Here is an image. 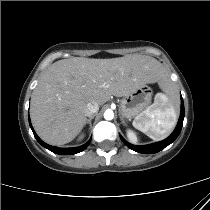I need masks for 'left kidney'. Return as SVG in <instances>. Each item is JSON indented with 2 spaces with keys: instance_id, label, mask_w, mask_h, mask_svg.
I'll use <instances>...</instances> for the list:
<instances>
[{
  "instance_id": "obj_1",
  "label": "left kidney",
  "mask_w": 210,
  "mask_h": 210,
  "mask_svg": "<svg viewBox=\"0 0 210 210\" xmlns=\"http://www.w3.org/2000/svg\"><path fill=\"white\" fill-rule=\"evenodd\" d=\"M126 135H127L128 139H129L132 143H137L138 137H137L136 133H135L133 130L127 129V130H126Z\"/></svg>"
}]
</instances>
